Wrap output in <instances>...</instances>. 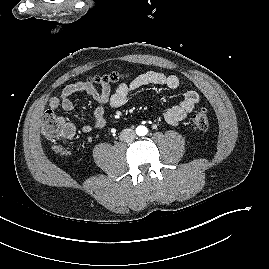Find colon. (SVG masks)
I'll use <instances>...</instances> for the list:
<instances>
[{"instance_id":"colon-1","label":"colon","mask_w":269,"mask_h":269,"mask_svg":"<svg viewBox=\"0 0 269 269\" xmlns=\"http://www.w3.org/2000/svg\"><path fill=\"white\" fill-rule=\"evenodd\" d=\"M126 78V75L120 73H111L105 76L97 77L94 81L98 84L117 83ZM193 125L196 130L204 132L209 127V117L206 108L199 109L193 116ZM43 134L51 139L56 140L66 137L67 123L60 116L55 115L53 112L47 111L42 122Z\"/></svg>"}]
</instances>
